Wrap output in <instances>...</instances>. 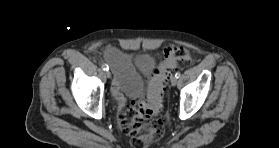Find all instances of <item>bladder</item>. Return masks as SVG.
Here are the masks:
<instances>
[{
    "label": "bladder",
    "instance_id": "1",
    "mask_svg": "<svg viewBox=\"0 0 279 148\" xmlns=\"http://www.w3.org/2000/svg\"><path fill=\"white\" fill-rule=\"evenodd\" d=\"M128 62H131V59H127ZM154 67V59L152 56H147L146 58L143 59L142 63V70L144 73H148L151 71Z\"/></svg>",
    "mask_w": 279,
    "mask_h": 148
}]
</instances>
